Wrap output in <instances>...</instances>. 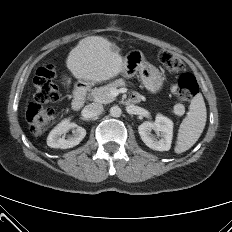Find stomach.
<instances>
[{
  "mask_svg": "<svg viewBox=\"0 0 232 232\" xmlns=\"http://www.w3.org/2000/svg\"><path fill=\"white\" fill-rule=\"evenodd\" d=\"M124 60L125 77H132L138 73L142 83L150 92L156 93L160 90L163 84L162 75L156 67L145 61L142 51L133 50L125 56Z\"/></svg>",
  "mask_w": 232,
  "mask_h": 232,
  "instance_id": "obj_1",
  "label": "stomach"
}]
</instances>
